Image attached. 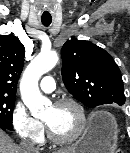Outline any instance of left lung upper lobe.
<instances>
[{
	"instance_id": "5c2ea615",
	"label": "left lung upper lobe",
	"mask_w": 130,
	"mask_h": 153,
	"mask_svg": "<svg viewBox=\"0 0 130 153\" xmlns=\"http://www.w3.org/2000/svg\"><path fill=\"white\" fill-rule=\"evenodd\" d=\"M61 56L64 85L85 106L125 103L121 72L104 49L72 38L63 45Z\"/></svg>"
}]
</instances>
